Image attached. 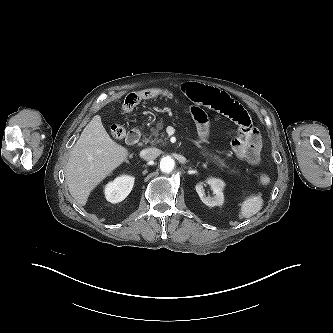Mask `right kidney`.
Returning <instances> with one entry per match:
<instances>
[{
    "instance_id": "1",
    "label": "right kidney",
    "mask_w": 333,
    "mask_h": 333,
    "mask_svg": "<svg viewBox=\"0 0 333 333\" xmlns=\"http://www.w3.org/2000/svg\"><path fill=\"white\" fill-rule=\"evenodd\" d=\"M134 185V178L131 176L117 177L105 187V197L111 203L123 201L131 192Z\"/></svg>"
}]
</instances>
